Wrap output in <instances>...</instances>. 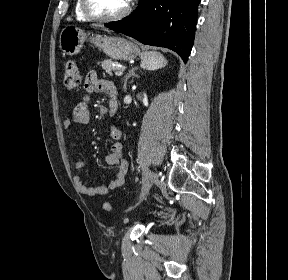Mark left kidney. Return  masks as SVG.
<instances>
[{
	"label": "left kidney",
	"mask_w": 288,
	"mask_h": 280,
	"mask_svg": "<svg viewBox=\"0 0 288 280\" xmlns=\"http://www.w3.org/2000/svg\"><path fill=\"white\" fill-rule=\"evenodd\" d=\"M143 104H144L145 106H148V99H147V95H146V94H144Z\"/></svg>",
	"instance_id": "left-kidney-1"
}]
</instances>
